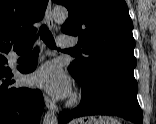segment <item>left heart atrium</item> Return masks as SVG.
<instances>
[{"mask_svg": "<svg viewBox=\"0 0 156 124\" xmlns=\"http://www.w3.org/2000/svg\"><path fill=\"white\" fill-rule=\"evenodd\" d=\"M32 82L56 98H64L71 91L68 76L56 62H47L38 68Z\"/></svg>", "mask_w": 156, "mask_h": 124, "instance_id": "39dd6f15", "label": "left heart atrium"}]
</instances>
